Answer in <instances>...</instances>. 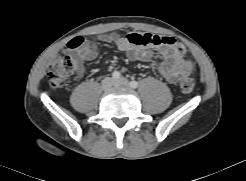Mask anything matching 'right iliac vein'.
Returning a JSON list of instances; mask_svg holds the SVG:
<instances>
[{
	"label": "right iliac vein",
	"mask_w": 246,
	"mask_h": 181,
	"mask_svg": "<svg viewBox=\"0 0 246 181\" xmlns=\"http://www.w3.org/2000/svg\"><path fill=\"white\" fill-rule=\"evenodd\" d=\"M115 85V81L111 77H106L102 81V89L104 91L110 90Z\"/></svg>",
	"instance_id": "obj_1"
}]
</instances>
